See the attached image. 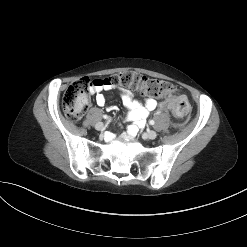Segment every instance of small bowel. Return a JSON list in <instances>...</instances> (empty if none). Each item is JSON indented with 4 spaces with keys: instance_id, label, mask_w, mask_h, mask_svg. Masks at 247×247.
I'll return each instance as SVG.
<instances>
[{
    "instance_id": "1",
    "label": "small bowel",
    "mask_w": 247,
    "mask_h": 247,
    "mask_svg": "<svg viewBox=\"0 0 247 247\" xmlns=\"http://www.w3.org/2000/svg\"><path fill=\"white\" fill-rule=\"evenodd\" d=\"M116 88L113 85L99 83L92 86L90 91L95 94V100L98 106L106 107L108 110H113V106H108L103 91ZM122 97L124 106L127 109V119L133 124L128 126L127 134L134 136L139 128L144 127L149 114L158 106L156 99L152 97L145 98L144 102H140L134 98V91L127 88H116Z\"/></svg>"
}]
</instances>
